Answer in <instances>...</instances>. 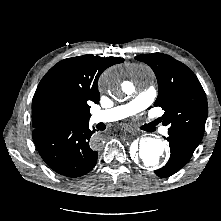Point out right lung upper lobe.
I'll list each match as a JSON object with an SVG mask.
<instances>
[{
  "mask_svg": "<svg viewBox=\"0 0 221 221\" xmlns=\"http://www.w3.org/2000/svg\"><path fill=\"white\" fill-rule=\"evenodd\" d=\"M123 58L84 55L64 59L40 81L32 100V126L84 122L90 118L89 104H98L99 76Z\"/></svg>",
  "mask_w": 221,
  "mask_h": 221,
  "instance_id": "right-lung-upper-lobe-1",
  "label": "right lung upper lobe"
}]
</instances>
